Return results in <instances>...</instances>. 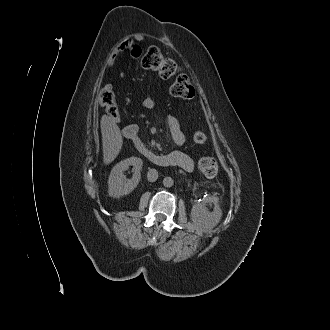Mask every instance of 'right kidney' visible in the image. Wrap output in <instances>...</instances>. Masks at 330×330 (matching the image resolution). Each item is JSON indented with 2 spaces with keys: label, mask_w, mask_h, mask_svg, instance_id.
Masks as SVG:
<instances>
[{
  "label": "right kidney",
  "mask_w": 330,
  "mask_h": 330,
  "mask_svg": "<svg viewBox=\"0 0 330 330\" xmlns=\"http://www.w3.org/2000/svg\"><path fill=\"white\" fill-rule=\"evenodd\" d=\"M129 166H133V176L131 179H126L123 171H126ZM143 161L138 157H130L117 163L111 170L108 179V192L111 197L119 198L123 195L131 193L139 184L141 179V169Z\"/></svg>",
  "instance_id": "obj_1"
}]
</instances>
